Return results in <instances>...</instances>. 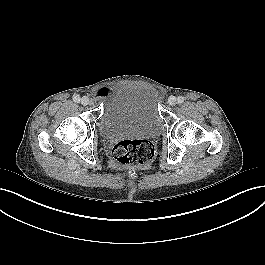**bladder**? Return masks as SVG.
<instances>
[{
	"instance_id": "31cf9c89",
	"label": "bladder",
	"mask_w": 265,
	"mask_h": 265,
	"mask_svg": "<svg viewBox=\"0 0 265 265\" xmlns=\"http://www.w3.org/2000/svg\"><path fill=\"white\" fill-rule=\"evenodd\" d=\"M163 126L156 90L147 84H123L110 94L99 120L104 139L125 134L157 135Z\"/></svg>"
}]
</instances>
